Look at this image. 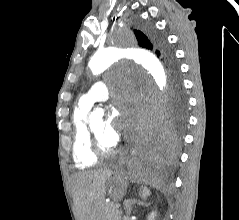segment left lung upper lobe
I'll return each mask as SVG.
<instances>
[{"mask_svg":"<svg viewBox=\"0 0 239 220\" xmlns=\"http://www.w3.org/2000/svg\"><path fill=\"white\" fill-rule=\"evenodd\" d=\"M135 35L140 47L155 49L157 56H161L162 60L166 63L173 86L174 109L171 124L179 130L185 122L186 101L173 56L167 48L164 38L155 32L152 27H147L144 32L135 30Z\"/></svg>","mask_w":239,"mask_h":220,"instance_id":"left-lung-upper-lobe-1","label":"left lung upper lobe"}]
</instances>
